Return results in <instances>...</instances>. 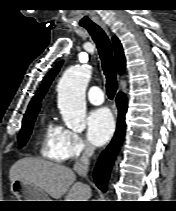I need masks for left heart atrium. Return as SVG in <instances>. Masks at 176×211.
<instances>
[{"mask_svg": "<svg viewBox=\"0 0 176 211\" xmlns=\"http://www.w3.org/2000/svg\"><path fill=\"white\" fill-rule=\"evenodd\" d=\"M87 137L96 146L105 144L112 136L115 128L114 119L106 108L90 112L86 120Z\"/></svg>", "mask_w": 176, "mask_h": 211, "instance_id": "left-heart-atrium-1", "label": "left heart atrium"}]
</instances>
